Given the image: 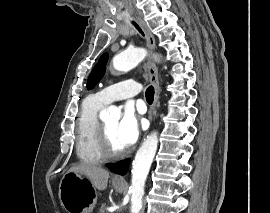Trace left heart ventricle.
Segmentation results:
<instances>
[{
  "label": "left heart ventricle",
  "instance_id": "1",
  "mask_svg": "<svg viewBox=\"0 0 270 213\" xmlns=\"http://www.w3.org/2000/svg\"><path fill=\"white\" fill-rule=\"evenodd\" d=\"M102 123L106 129L111 146L117 151L123 150L116 134L118 120H107Z\"/></svg>",
  "mask_w": 270,
  "mask_h": 213
}]
</instances>
